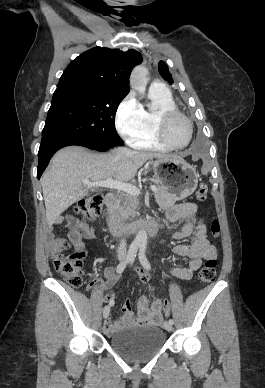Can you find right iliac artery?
I'll list each match as a JSON object with an SVG mask.
<instances>
[{"mask_svg": "<svg viewBox=\"0 0 265 388\" xmlns=\"http://www.w3.org/2000/svg\"><path fill=\"white\" fill-rule=\"evenodd\" d=\"M138 247H139L138 244H131V246L128 250V254H127L126 259L124 261H122L120 264H118V266L116 268L117 273H119V274L122 273L124 271V269L126 268V266L135 260ZM109 305L112 306L113 303H110Z\"/></svg>", "mask_w": 265, "mask_h": 388, "instance_id": "right-iliac-artery-1", "label": "right iliac artery"}]
</instances>
